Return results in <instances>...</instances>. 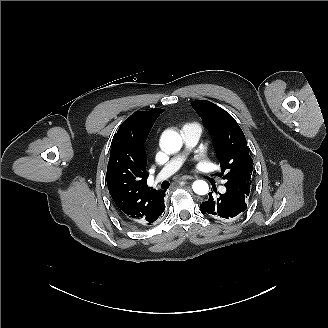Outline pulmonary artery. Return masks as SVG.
Returning a JSON list of instances; mask_svg holds the SVG:
<instances>
[{
  "label": "pulmonary artery",
  "mask_w": 328,
  "mask_h": 328,
  "mask_svg": "<svg viewBox=\"0 0 328 328\" xmlns=\"http://www.w3.org/2000/svg\"><path fill=\"white\" fill-rule=\"evenodd\" d=\"M181 135L184 141V145H185V150L184 152H182L181 154L176 155L175 157H173L165 166L164 168L161 170V172L159 174H157L156 176H153L150 178V183L152 185H156L157 183H159L161 180L169 177L170 175H172L181 165L182 161L184 160L186 151L193 148L199 138H200V134L197 130L190 128L188 126H184L181 129Z\"/></svg>",
  "instance_id": "1"
}]
</instances>
